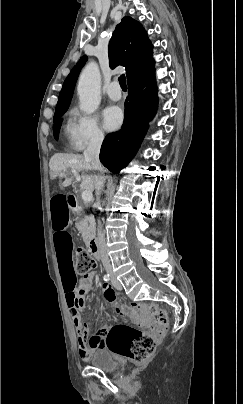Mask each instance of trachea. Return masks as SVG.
<instances>
[{"instance_id": "1", "label": "trachea", "mask_w": 243, "mask_h": 404, "mask_svg": "<svg viewBox=\"0 0 243 404\" xmlns=\"http://www.w3.org/2000/svg\"><path fill=\"white\" fill-rule=\"evenodd\" d=\"M118 80H119V84H120L122 90L126 91V89H127V84H126V77H125V75H124V74L120 75V77H119Z\"/></svg>"}]
</instances>
